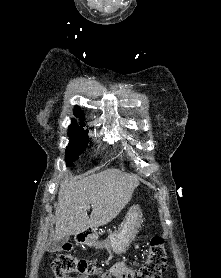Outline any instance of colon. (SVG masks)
I'll return each mask as SVG.
<instances>
[{
  "label": "colon",
  "mask_w": 221,
  "mask_h": 278,
  "mask_svg": "<svg viewBox=\"0 0 221 278\" xmlns=\"http://www.w3.org/2000/svg\"><path fill=\"white\" fill-rule=\"evenodd\" d=\"M68 250L69 248L66 247ZM167 253L164 241L159 236L152 237L144 261L136 268L124 274L123 278H161L166 269ZM57 278H102L105 271L86 259L70 254H59L52 263Z\"/></svg>",
  "instance_id": "colon-1"
}]
</instances>
